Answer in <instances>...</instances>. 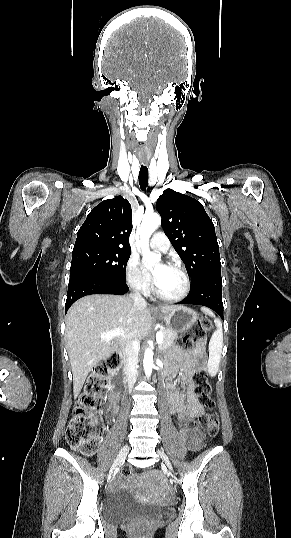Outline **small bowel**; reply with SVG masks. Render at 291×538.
<instances>
[{
    "instance_id": "small-bowel-1",
    "label": "small bowel",
    "mask_w": 291,
    "mask_h": 538,
    "mask_svg": "<svg viewBox=\"0 0 291 538\" xmlns=\"http://www.w3.org/2000/svg\"><path fill=\"white\" fill-rule=\"evenodd\" d=\"M196 359L190 354L179 355L173 363L169 375L172 377L179 374L186 384V390L183 394L176 391L173 384L168 381L166 390L170 402V412L178 418L180 436L186 443L187 448L191 451H198L203 445V434L198 429L188 427V419L191 416H198L203 413V406L198 402L194 384L191 377L194 371ZM118 400L113 392L108 396L107 413L114 416L118 413Z\"/></svg>"
}]
</instances>
